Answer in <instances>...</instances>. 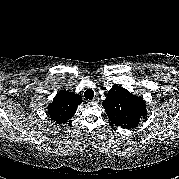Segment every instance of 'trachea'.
<instances>
[{"instance_id":"trachea-1","label":"trachea","mask_w":179,"mask_h":179,"mask_svg":"<svg viewBox=\"0 0 179 179\" xmlns=\"http://www.w3.org/2000/svg\"><path fill=\"white\" fill-rule=\"evenodd\" d=\"M84 96H85L86 99L92 100L93 97H94V91L92 89H87L84 92Z\"/></svg>"}]
</instances>
